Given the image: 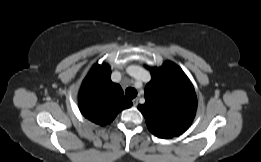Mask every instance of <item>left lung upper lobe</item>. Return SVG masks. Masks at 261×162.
I'll use <instances>...</instances> for the list:
<instances>
[{
	"instance_id": "obj_1",
	"label": "left lung upper lobe",
	"mask_w": 261,
	"mask_h": 162,
	"mask_svg": "<svg viewBox=\"0 0 261 162\" xmlns=\"http://www.w3.org/2000/svg\"><path fill=\"white\" fill-rule=\"evenodd\" d=\"M151 81L145 87V100L138 109L151 133L172 138L185 132L197 109V98L190 80L175 63L150 68Z\"/></svg>"
}]
</instances>
